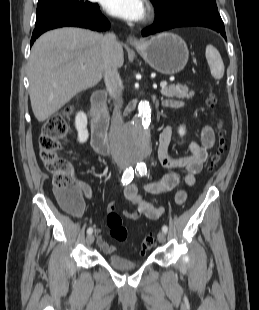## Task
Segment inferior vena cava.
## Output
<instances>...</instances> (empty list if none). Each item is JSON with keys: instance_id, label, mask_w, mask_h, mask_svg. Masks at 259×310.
<instances>
[{"instance_id": "obj_1", "label": "inferior vena cava", "mask_w": 259, "mask_h": 310, "mask_svg": "<svg viewBox=\"0 0 259 310\" xmlns=\"http://www.w3.org/2000/svg\"><path fill=\"white\" fill-rule=\"evenodd\" d=\"M118 41L114 33H108L103 37V63L104 81L110 96L114 99V110L110 127V139L113 142L122 127V81L114 63V50L118 46ZM117 159V155H115Z\"/></svg>"}]
</instances>
